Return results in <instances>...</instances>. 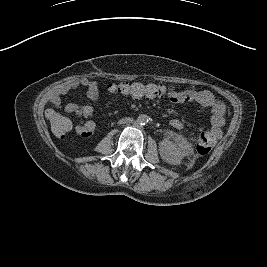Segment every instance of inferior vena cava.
Instances as JSON below:
<instances>
[{
  "instance_id": "602c4592",
  "label": "inferior vena cava",
  "mask_w": 267,
  "mask_h": 267,
  "mask_svg": "<svg viewBox=\"0 0 267 267\" xmlns=\"http://www.w3.org/2000/svg\"><path fill=\"white\" fill-rule=\"evenodd\" d=\"M133 121V119L132 118H123V119H121L120 121H119V124H126V123H130V122H132Z\"/></svg>"
}]
</instances>
